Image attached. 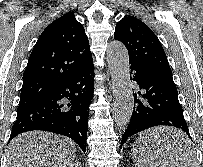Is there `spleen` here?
Returning <instances> with one entry per match:
<instances>
[{
    "instance_id": "1",
    "label": "spleen",
    "mask_w": 203,
    "mask_h": 167,
    "mask_svg": "<svg viewBox=\"0 0 203 167\" xmlns=\"http://www.w3.org/2000/svg\"><path fill=\"white\" fill-rule=\"evenodd\" d=\"M180 140L181 143L186 144V146H190V141L185 135L182 136ZM188 149H190V147ZM133 159L135 162V167H166V164L162 163L160 160H157L155 155L150 152L149 148L146 147L145 150L144 143H142L141 138H139L138 143L136 142V145L133 147ZM183 159V162L188 164L189 167H194L193 165L195 164V159L192 152L188 151L184 155Z\"/></svg>"
}]
</instances>
